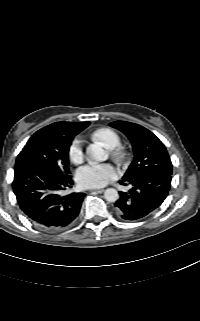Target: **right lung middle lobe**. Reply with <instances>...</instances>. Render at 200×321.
I'll return each mask as SVG.
<instances>
[{
    "label": "right lung middle lobe",
    "mask_w": 200,
    "mask_h": 321,
    "mask_svg": "<svg viewBox=\"0 0 200 321\" xmlns=\"http://www.w3.org/2000/svg\"><path fill=\"white\" fill-rule=\"evenodd\" d=\"M74 136L59 138L47 127L38 130L17 156L15 170L38 166L46 167L59 176L70 175L69 147Z\"/></svg>",
    "instance_id": "right-lung-middle-lobe-1"
}]
</instances>
